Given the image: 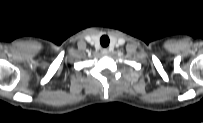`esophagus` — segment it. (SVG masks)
<instances>
[{
    "label": "esophagus",
    "instance_id": "1",
    "mask_svg": "<svg viewBox=\"0 0 203 123\" xmlns=\"http://www.w3.org/2000/svg\"><path fill=\"white\" fill-rule=\"evenodd\" d=\"M101 53L103 55H108L109 51H108V49L104 48V49H102Z\"/></svg>",
    "mask_w": 203,
    "mask_h": 123
}]
</instances>
